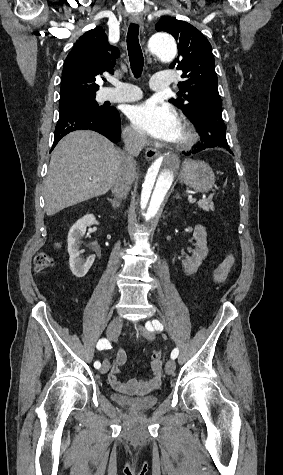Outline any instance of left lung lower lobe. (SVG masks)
<instances>
[{
	"instance_id": "left-lung-lower-lobe-1",
	"label": "left lung lower lobe",
	"mask_w": 283,
	"mask_h": 475,
	"mask_svg": "<svg viewBox=\"0 0 283 475\" xmlns=\"http://www.w3.org/2000/svg\"><path fill=\"white\" fill-rule=\"evenodd\" d=\"M193 122L201 136V141L191 152H184L185 155L194 154L212 147L223 148L232 153L226 140V126L222 119L221 106H203L199 111V115L193 119Z\"/></svg>"
}]
</instances>
